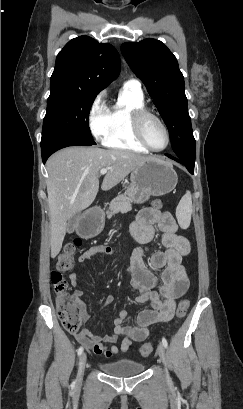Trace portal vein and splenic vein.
I'll return each mask as SVG.
<instances>
[{
    "label": "portal vein and splenic vein",
    "mask_w": 243,
    "mask_h": 409,
    "mask_svg": "<svg viewBox=\"0 0 243 409\" xmlns=\"http://www.w3.org/2000/svg\"><path fill=\"white\" fill-rule=\"evenodd\" d=\"M108 169L107 168H103L100 170V175H105L107 173Z\"/></svg>",
    "instance_id": "1"
}]
</instances>
